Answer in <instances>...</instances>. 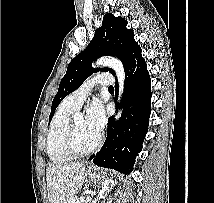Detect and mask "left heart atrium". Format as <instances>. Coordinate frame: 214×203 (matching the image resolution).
I'll return each instance as SVG.
<instances>
[{
  "instance_id": "1",
  "label": "left heart atrium",
  "mask_w": 214,
  "mask_h": 203,
  "mask_svg": "<svg viewBox=\"0 0 214 203\" xmlns=\"http://www.w3.org/2000/svg\"><path fill=\"white\" fill-rule=\"evenodd\" d=\"M87 124L96 132H100L105 124V114L102 103L95 99L87 110L85 117Z\"/></svg>"
}]
</instances>
